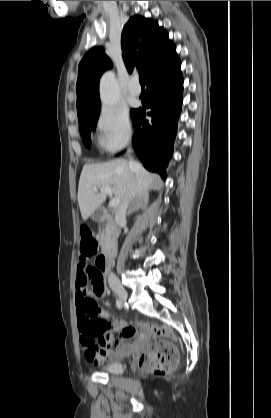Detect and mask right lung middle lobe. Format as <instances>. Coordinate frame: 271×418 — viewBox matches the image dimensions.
I'll use <instances>...</instances> for the list:
<instances>
[{
  "label": "right lung middle lobe",
  "mask_w": 271,
  "mask_h": 418,
  "mask_svg": "<svg viewBox=\"0 0 271 418\" xmlns=\"http://www.w3.org/2000/svg\"><path fill=\"white\" fill-rule=\"evenodd\" d=\"M134 111L135 109L131 110V116L134 113ZM99 113H100V106L92 109L86 114L78 116L80 132L83 137V142L87 147H90V143H91L90 132L95 130L96 128Z\"/></svg>",
  "instance_id": "obj_1"
}]
</instances>
